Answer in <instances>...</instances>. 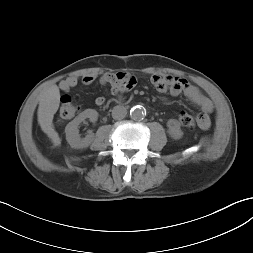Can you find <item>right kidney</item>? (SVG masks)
I'll use <instances>...</instances> for the list:
<instances>
[{
	"instance_id": "ca27d5eb",
	"label": "right kidney",
	"mask_w": 253,
	"mask_h": 253,
	"mask_svg": "<svg viewBox=\"0 0 253 253\" xmlns=\"http://www.w3.org/2000/svg\"><path fill=\"white\" fill-rule=\"evenodd\" d=\"M89 118L90 121L95 122L98 119V113L94 109H86L81 112L75 119L68 123L65 128L66 140L68 144L75 149L87 148L94 139V134L89 133L85 138L81 139L78 126L85 119Z\"/></svg>"
}]
</instances>
